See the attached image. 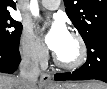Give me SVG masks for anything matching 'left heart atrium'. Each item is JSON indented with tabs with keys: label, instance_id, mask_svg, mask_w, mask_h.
<instances>
[{
	"label": "left heart atrium",
	"instance_id": "39dd6f15",
	"mask_svg": "<svg viewBox=\"0 0 107 89\" xmlns=\"http://www.w3.org/2000/svg\"><path fill=\"white\" fill-rule=\"evenodd\" d=\"M45 43L53 52L57 53L65 44L70 34L69 31L59 17H56L45 24Z\"/></svg>",
	"mask_w": 107,
	"mask_h": 89
}]
</instances>
